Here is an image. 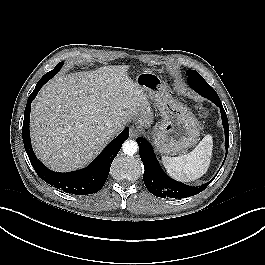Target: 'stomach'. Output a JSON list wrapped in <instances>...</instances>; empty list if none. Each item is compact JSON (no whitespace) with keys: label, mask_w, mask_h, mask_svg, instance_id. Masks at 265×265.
<instances>
[{"label":"stomach","mask_w":265,"mask_h":265,"mask_svg":"<svg viewBox=\"0 0 265 265\" xmlns=\"http://www.w3.org/2000/svg\"><path fill=\"white\" fill-rule=\"evenodd\" d=\"M135 83L162 117L152 132L157 151L177 154L195 145L200 136L199 122L184 104L172 97L163 80L152 71H143L136 76Z\"/></svg>","instance_id":"obj_1"}]
</instances>
